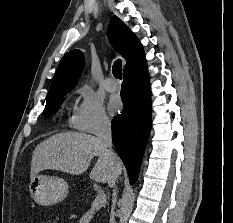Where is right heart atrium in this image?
Masks as SVG:
<instances>
[{
	"label": "right heart atrium",
	"mask_w": 233,
	"mask_h": 223,
	"mask_svg": "<svg viewBox=\"0 0 233 223\" xmlns=\"http://www.w3.org/2000/svg\"><path fill=\"white\" fill-rule=\"evenodd\" d=\"M80 103L72 117V126L80 131L99 133L111 128L103 103L84 89L79 90Z\"/></svg>",
	"instance_id": "right-heart-atrium-1"
}]
</instances>
